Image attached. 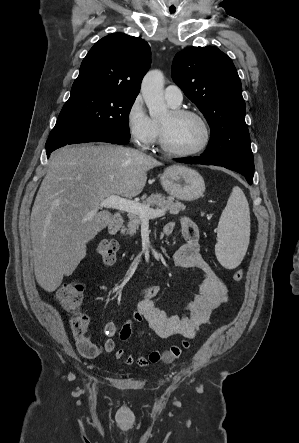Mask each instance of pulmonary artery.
<instances>
[{
	"label": "pulmonary artery",
	"mask_w": 299,
	"mask_h": 443,
	"mask_svg": "<svg viewBox=\"0 0 299 443\" xmlns=\"http://www.w3.org/2000/svg\"><path fill=\"white\" fill-rule=\"evenodd\" d=\"M164 97L169 105L177 107L182 103L183 92L177 85H169L164 90Z\"/></svg>",
	"instance_id": "1"
}]
</instances>
